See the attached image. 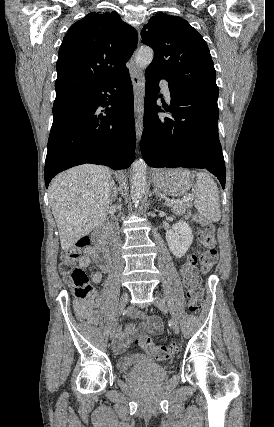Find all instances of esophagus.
<instances>
[{
  "label": "esophagus",
  "mask_w": 274,
  "mask_h": 427,
  "mask_svg": "<svg viewBox=\"0 0 274 427\" xmlns=\"http://www.w3.org/2000/svg\"><path fill=\"white\" fill-rule=\"evenodd\" d=\"M133 64L130 68V77L133 84L134 91V116H135V128L138 139L141 138L143 129V111H144V82L145 78L141 70L134 66V56L131 59Z\"/></svg>",
  "instance_id": "1"
}]
</instances>
